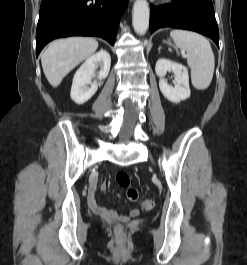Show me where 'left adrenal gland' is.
<instances>
[{
  "mask_svg": "<svg viewBox=\"0 0 247 265\" xmlns=\"http://www.w3.org/2000/svg\"><path fill=\"white\" fill-rule=\"evenodd\" d=\"M161 47L158 48V52L160 53Z\"/></svg>",
  "mask_w": 247,
  "mask_h": 265,
  "instance_id": "1",
  "label": "left adrenal gland"
}]
</instances>
